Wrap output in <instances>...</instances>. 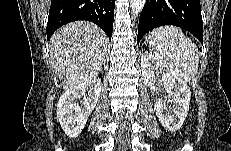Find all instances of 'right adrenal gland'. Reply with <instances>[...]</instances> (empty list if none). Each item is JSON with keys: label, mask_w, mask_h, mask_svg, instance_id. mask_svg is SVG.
Returning <instances> with one entry per match:
<instances>
[{"label": "right adrenal gland", "mask_w": 231, "mask_h": 151, "mask_svg": "<svg viewBox=\"0 0 231 151\" xmlns=\"http://www.w3.org/2000/svg\"><path fill=\"white\" fill-rule=\"evenodd\" d=\"M106 62H107V58L104 60V66H106V64H107Z\"/></svg>", "instance_id": "2a0ac1e0"}]
</instances>
